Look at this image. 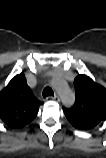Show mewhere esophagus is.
<instances>
[{
	"instance_id": "1",
	"label": "esophagus",
	"mask_w": 106,
	"mask_h": 158,
	"mask_svg": "<svg viewBox=\"0 0 106 158\" xmlns=\"http://www.w3.org/2000/svg\"><path fill=\"white\" fill-rule=\"evenodd\" d=\"M47 100H54L58 102L60 100V97L59 95L55 94L54 96H48Z\"/></svg>"
}]
</instances>
